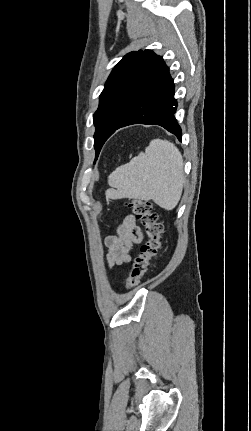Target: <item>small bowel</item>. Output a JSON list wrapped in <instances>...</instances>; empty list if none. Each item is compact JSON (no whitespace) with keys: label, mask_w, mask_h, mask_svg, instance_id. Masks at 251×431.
Instances as JSON below:
<instances>
[{"label":"small bowel","mask_w":251,"mask_h":431,"mask_svg":"<svg viewBox=\"0 0 251 431\" xmlns=\"http://www.w3.org/2000/svg\"><path fill=\"white\" fill-rule=\"evenodd\" d=\"M142 240L143 231L136 224L135 217L127 215L121 221L117 233L105 238L109 267L129 263L132 260L134 245L139 244Z\"/></svg>","instance_id":"1"}]
</instances>
